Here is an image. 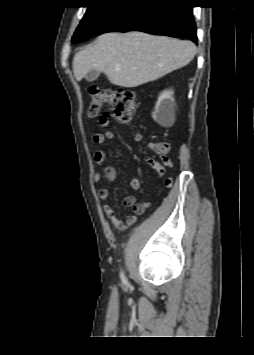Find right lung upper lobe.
<instances>
[{
  "mask_svg": "<svg viewBox=\"0 0 254 355\" xmlns=\"http://www.w3.org/2000/svg\"><path fill=\"white\" fill-rule=\"evenodd\" d=\"M91 2H101V1H107V0H90ZM112 1H116V2H119V3H126V2H129V1H132V0H112Z\"/></svg>",
  "mask_w": 254,
  "mask_h": 355,
  "instance_id": "right-lung-upper-lobe-1",
  "label": "right lung upper lobe"
}]
</instances>
